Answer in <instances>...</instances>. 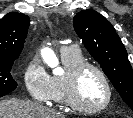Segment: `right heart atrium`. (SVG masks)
<instances>
[{"instance_id":"obj_1","label":"right heart atrium","mask_w":133,"mask_h":118,"mask_svg":"<svg viewBox=\"0 0 133 118\" xmlns=\"http://www.w3.org/2000/svg\"><path fill=\"white\" fill-rule=\"evenodd\" d=\"M23 80L29 96L38 103L52 100V77L37 58H31L24 69Z\"/></svg>"}]
</instances>
